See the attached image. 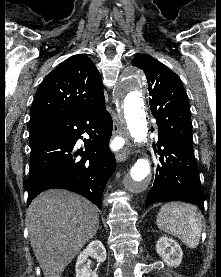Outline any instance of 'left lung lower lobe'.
<instances>
[{"instance_id":"1","label":"left lung lower lobe","mask_w":221,"mask_h":277,"mask_svg":"<svg viewBox=\"0 0 221 277\" xmlns=\"http://www.w3.org/2000/svg\"><path fill=\"white\" fill-rule=\"evenodd\" d=\"M158 137L160 157L146 207L152 202L186 201L196 204L204 212V197L193 149L160 130Z\"/></svg>"}]
</instances>
